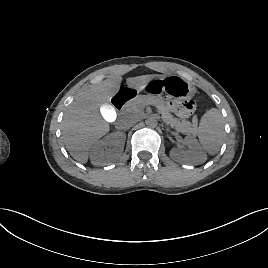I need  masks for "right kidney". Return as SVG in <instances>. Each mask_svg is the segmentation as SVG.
<instances>
[{
  "label": "right kidney",
  "instance_id": "obj_1",
  "mask_svg": "<svg viewBox=\"0 0 268 268\" xmlns=\"http://www.w3.org/2000/svg\"><path fill=\"white\" fill-rule=\"evenodd\" d=\"M125 140V134L116 132L97 141L90 152L91 163L106 166L116 162L123 153Z\"/></svg>",
  "mask_w": 268,
  "mask_h": 268
}]
</instances>
